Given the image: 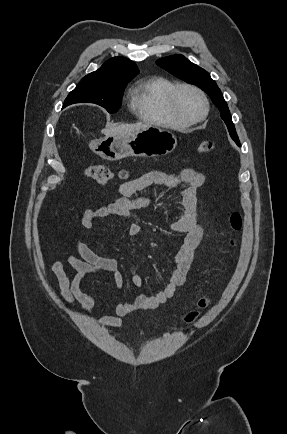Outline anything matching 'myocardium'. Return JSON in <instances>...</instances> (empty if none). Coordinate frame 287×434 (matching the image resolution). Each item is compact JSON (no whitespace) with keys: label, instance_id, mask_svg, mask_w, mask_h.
<instances>
[{"label":"myocardium","instance_id":"1","mask_svg":"<svg viewBox=\"0 0 287 434\" xmlns=\"http://www.w3.org/2000/svg\"><path fill=\"white\" fill-rule=\"evenodd\" d=\"M185 89H188V90L195 92L202 101L203 112L196 119L184 118L179 113V111L177 109L178 94L180 93V91L185 90ZM167 105H168V109H169V112L172 115V117L175 118L177 121H179L181 124H183L185 126L195 125V124L202 122L207 117L208 112H209V102H208V98H207L206 94L204 93V91L202 89H200L198 86L193 85V84H189V83H182V84L175 85L168 93Z\"/></svg>","mask_w":287,"mask_h":434}]
</instances>
